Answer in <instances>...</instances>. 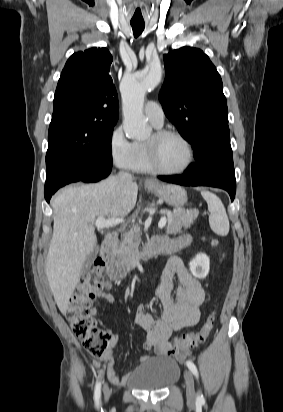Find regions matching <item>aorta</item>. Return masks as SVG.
<instances>
[{
    "mask_svg": "<svg viewBox=\"0 0 283 412\" xmlns=\"http://www.w3.org/2000/svg\"><path fill=\"white\" fill-rule=\"evenodd\" d=\"M161 81V72H142L124 77L121 84L124 132L129 138H147L151 131L143 115L144 97Z\"/></svg>",
    "mask_w": 283,
    "mask_h": 412,
    "instance_id": "aorta-1",
    "label": "aorta"
}]
</instances>
